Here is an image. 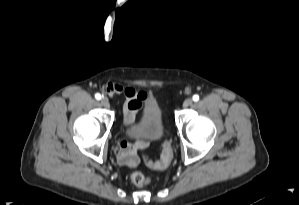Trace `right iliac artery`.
I'll list each match as a JSON object with an SVG mask.
<instances>
[{
    "label": "right iliac artery",
    "instance_id": "obj_1",
    "mask_svg": "<svg viewBox=\"0 0 299 205\" xmlns=\"http://www.w3.org/2000/svg\"><path fill=\"white\" fill-rule=\"evenodd\" d=\"M95 98H96L97 100H100V99H101V95H100L99 93H96V94H95Z\"/></svg>",
    "mask_w": 299,
    "mask_h": 205
}]
</instances>
